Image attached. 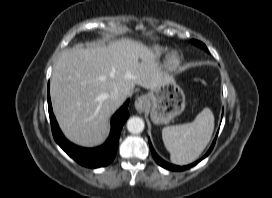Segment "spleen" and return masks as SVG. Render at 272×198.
Here are the masks:
<instances>
[{
    "mask_svg": "<svg viewBox=\"0 0 272 198\" xmlns=\"http://www.w3.org/2000/svg\"><path fill=\"white\" fill-rule=\"evenodd\" d=\"M214 130V115L204 108L191 123L162 129V139L171 162L186 165L195 161L209 143Z\"/></svg>",
    "mask_w": 272,
    "mask_h": 198,
    "instance_id": "obj_1",
    "label": "spleen"
}]
</instances>
